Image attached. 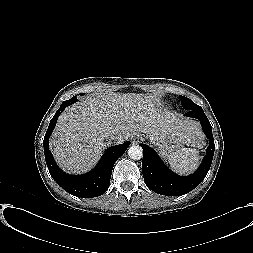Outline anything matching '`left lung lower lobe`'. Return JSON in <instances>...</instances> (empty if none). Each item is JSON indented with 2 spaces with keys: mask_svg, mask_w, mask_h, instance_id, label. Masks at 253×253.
<instances>
[{
  "mask_svg": "<svg viewBox=\"0 0 253 253\" xmlns=\"http://www.w3.org/2000/svg\"><path fill=\"white\" fill-rule=\"evenodd\" d=\"M197 118L204 133L209 139L206 155L198 170L190 176H179L169 170L161 161L158 154L149 146L140 144L144 154L142 159V173L146 185L152 191L166 196H180L193 190L207 175L215 150L212 127L201 107L191 108L184 114Z\"/></svg>",
  "mask_w": 253,
  "mask_h": 253,
  "instance_id": "0a47b994",
  "label": "left lung lower lobe"
}]
</instances>
